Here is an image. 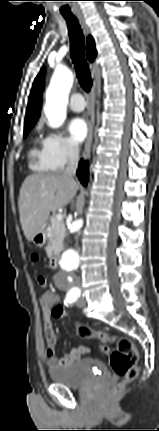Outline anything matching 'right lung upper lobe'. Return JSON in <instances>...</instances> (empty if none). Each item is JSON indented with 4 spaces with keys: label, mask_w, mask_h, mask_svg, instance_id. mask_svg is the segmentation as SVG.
<instances>
[{
    "label": "right lung upper lobe",
    "mask_w": 159,
    "mask_h": 431,
    "mask_svg": "<svg viewBox=\"0 0 159 431\" xmlns=\"http://www.w3.org/2000/svg\"><path fill=\"white\" fill-rule=\"evenodd\" d=\"M96 57L94 40L91 36L87 38V59L92 62ZM44 88V68L34 80L30 96L28 99V107L26 109V117L24 127L33 126L40 115L42 104V90Z\"/></svg>",
    "instance_id": "1"
}]
</instances>
